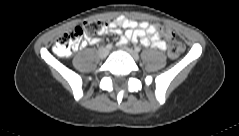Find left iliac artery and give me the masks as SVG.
<instances>
[{
    "instance_id": "1",
    "label": "left iliac artery",
    "mask_w": 239,
    "mask_h": 136,
    "mask_svg": "<svg viewBox=\"0 0 239 136\" xmlns=\"http://www.w3.org/2000/svg\"><path fill=\"white\" fill-rule=\"evenodd\" d=\"M135 51L136 52H140V48L139 47H135Z\"/></svg>"
}]
</instances>
